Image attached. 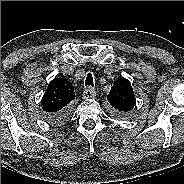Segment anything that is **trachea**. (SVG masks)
<instances>
[{
	"instance_id": "obj_1",
	"label": "trachea",
	"mask_w": 184,
	"mask_h": 184,
	"mask_svg": "<svg viewBox=\"0 0 184 184\" xmlns=\"http://www.w3.org/2000/svg\"><path fill=\"white\" fill-rule=\"evenodd\" d=\"M87 85L92 86V87L94 86L93 76H92L91 73L87 74V77H86V80H85V86H87Z\"/></svg>"
}]
</instances>
